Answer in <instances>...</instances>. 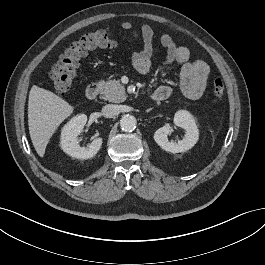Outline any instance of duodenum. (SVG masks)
Returning a JSON list of instances; mask_svg holds the SVG:
<instances>
[{
	"mask_svg": "<svg viewBox=\"0 0 265 265\" xmlns=\"http://www.w3.org/2000/svg\"><path fill=\"white\" fill-rule=\"evenodd\" d=\"M99 85L98 84H90L86 89V97L88 100H95L99 93ZM152 99L159 100V98L153 94Z\"/></svg>",
	"mask_w": 265,
	"mask_h": 265,
	"instance_id": "410a0bca",
	"label": "duodenum"
}]
</instances>
